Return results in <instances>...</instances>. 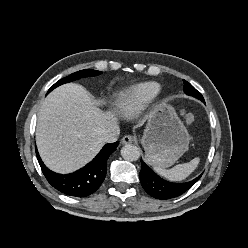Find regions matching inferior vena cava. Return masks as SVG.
<instances>
[{
  "mask_svg": "<svg viewBox=\"0 0 248 248\" xmlns=\"http://www.w3.org/2000/svg\"><path fill=\"white\" fill-rule=\"evenodd\" d=\"M119 130L107 132L102 136V141L105 143H113L118 140Z\"/></svg>",
  "mask_w": 248,
  "mask_h": 248,
  "instance_id": "602c4592",
  "label": "inferior vena cava"
}]
</instances>
